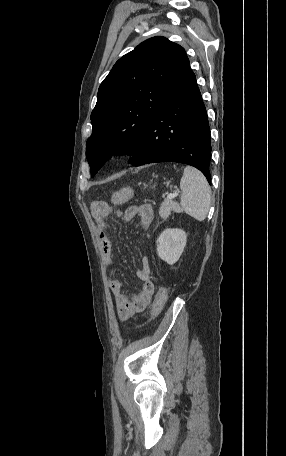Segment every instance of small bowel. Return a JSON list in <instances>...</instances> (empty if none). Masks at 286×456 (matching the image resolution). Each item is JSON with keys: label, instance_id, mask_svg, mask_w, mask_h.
Masks as SVG:
<instances>
[{"label": "small bowel", "instance_id": "1", "mask_svg": "<svg viewBox=\"0 0 286 456\" xmlns=\"http://www.w3.org/2000/svg\"><path fill=\"white\" fill-rule=\"evenodd\" d=\"M111 210L105 212L94 211L95 215L101 219L99 229V242L105 264L113 266L112 243L110 240V230L104 220H102ZM154 212L150 205L132 206L123 212V219L127 222L138 219L139 226L146 230L153 221ZM137 278L142 284L141 290L134 296H129L123 292L122 282L115 279L108 280V287L113 293L118 316L121 320H127L136 313L143 311L151 301L154 286L150 276V259L145 256L141 259L140 267L137 271Z\"/></svg>", "mask_w": 286, "mask_h": 456}]
</instances>
